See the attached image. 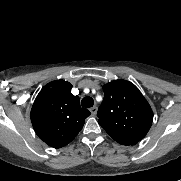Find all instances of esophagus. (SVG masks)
Instances as JSON below:
<instances>
[{"label":"esophagus","instance_id":"34e87169","mask_svg":"<svg viewBox=\"0 0 181 181\" xmlns=\"http://www.w3.org/2000/svg\"><path fill=\"white\" fill-rule=\"evenodd\" d=\"M90 112H91L92 115H96V113H97V107H96V106L91 107V108H90Z\"/></svg>","mask_w":181,"mask_h":181}]
</instances>
